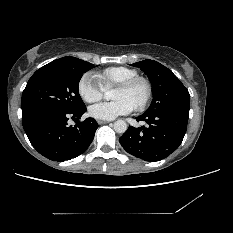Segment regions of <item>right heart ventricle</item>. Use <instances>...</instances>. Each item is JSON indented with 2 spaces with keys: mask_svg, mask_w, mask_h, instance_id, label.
Returning a JSON list of instances; mask_svg holds the SVG:
<instances>
[{
  "mask_svg": "<svg viewBox=\"0 0 233 233\" xmlns=\"http://www.w3.org/2000/svg\"><path fill=\"white\" fill-rule=\"evenodd\" d=\"M137 70L126 66L108 67L98 72L95 77L104 88H110L134 76H137Z\"/></svg>",
  "mask_w": 233,
  "mask_h": 233,
  "instance_id": "1",
  "label": "right heart ventricle"
}]
</instances>
